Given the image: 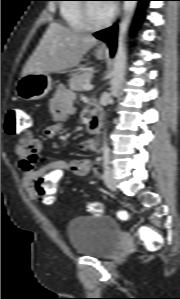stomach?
Here are the masks:
<instances>
[{"instance_id":"stomach-1","label":"stomach","mask_w":180,"mask_h":299,"mask_svg":"<svg viewBox=\"0 0 180 299\" xmlns=\"http://www.w3.org/2000/svg\"><path fill=\"white\" fill-rule=\"evenodd\" d=\"M98 59L104 58V53L97 50ZM52 80L46 73H29L22 75L16 83L15 90L19 98L30 101L45 97L51 90Z\"/></svg>"}]
</instances>
